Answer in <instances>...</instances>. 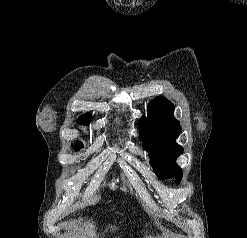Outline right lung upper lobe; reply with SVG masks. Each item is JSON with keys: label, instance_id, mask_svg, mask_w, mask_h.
Listing matches in <instances>:
<instances>
[{"label": "right lung upper lobe", "instance_id": "cb5924a9", "mask_svg": "<svg viewBox=\"0 0 247 238\" xmlns=\"http://www.w3.org/2000/svg\"><path fill=\"white\" fill-rule=\"evenodd\" d=\"M92 120V115L91 114H84L81 117L78 118L79 124L82 125H89ZM76 146H83L81 142H76Z\"/></svg>", "mask_w": 247, "mask_h": 238}]
</instances>
